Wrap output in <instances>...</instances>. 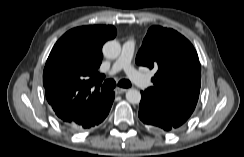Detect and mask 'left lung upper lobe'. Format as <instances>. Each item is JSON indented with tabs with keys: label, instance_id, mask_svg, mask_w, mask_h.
Wrapping results in <instances>:
<instances>
[{
	"label": "left lung upper lobe",
	"instance_id": "1",
	"mask_svg": "<svg viewBox=\"0 0 244 157\" xmlns=\"http://www.w3.org/2000/svg\"><path fill=\"white\" fill-rule=\"evenodd\" d=\"M136 63L155 69L154 86L143 93L152 98L179 127L193 113L200 92L201 66L193 45L170 28L152 26Z\"/></svg>",
	"mask_w": 244,
	"mask_h": 157
}]
</instances>
